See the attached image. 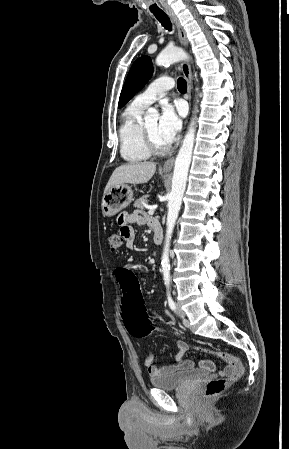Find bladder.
Returning <instances> with one entry per match:
<instances>
[{"mask_svg": "<svg viewBox=\"0 0 289 449\" xmlns=\"http://www.w3.org/2000/svg\"><path fill=\"white\" fill-rule=\"evenodd\" d=\"M204 376L206 372L203 370L189 369L151 376L150 382L155 388L174 390L185 387Z\"/></svg>", "mask_w": 289, "mask_h": 449, "instance_id": "obj_1", "label": "bladder"}]
</instances>
